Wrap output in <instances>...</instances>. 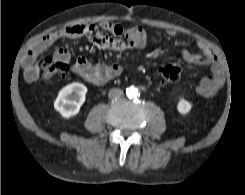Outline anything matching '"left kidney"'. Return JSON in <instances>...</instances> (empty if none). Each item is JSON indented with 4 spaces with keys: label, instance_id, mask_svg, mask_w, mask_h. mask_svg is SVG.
Masks as SVG:
<instances>
[{
    "label": "left kidney",
    "instance_id": "left-kidney-1",
    "mask_svg": "<svg viewBox=\"0 0 245 195\" xmlns=\"http://www.w3.org/2000/svg\"><path fill=\"white\" fill-rule=\"evenodd\" d=\"M192 105L183 97L179 98V102L177 104V110L180 114L185 115L190 112Z\"/></svg>",
    "mask_w": 245,
    "mask_h": 195
}]
</instances>
